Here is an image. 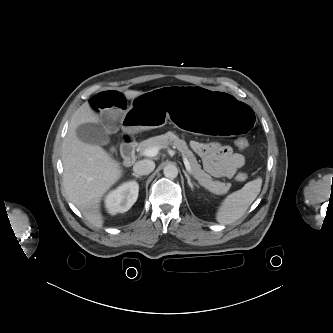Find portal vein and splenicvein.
I'll return each instance as SVG.
<instances>
[{
	"label": "portal vein and splenic vein",
	"mask_w": 333,
	"mask_h": 333,
	"mask_svg": "<svg viewBox=\"0 0 333 333\" xmlns=\"http://www.w3.org/2000/svg\"><path fill=\"white\" fill-rule=\"evenodd\" d=\"M159 150H160V147H158V146L149 147V148L145 149V151L143 152V155H145L147 157H154L158 154ZM183 162H184L187 172L192 174L190 162L184 154H183Z\"/></svg>",
	"instance_id": "18ae733b"
}]
</instances>
